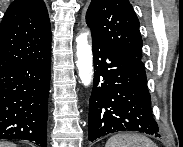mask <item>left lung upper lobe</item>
Here are the masks:
<instances>
[{"label": "left lung upper lobe", "instance_id": "obj_1", "mask_svg": "<svg viewBox=\"0 0 183 147\" xmlns=\"http://www.w3.org/2000/svg\"><path fill=\"white\" fill-rule=\"evenodd\" d=\"M86 23L92 38L142 58L139 20L128 0H92Z\"/></svg>", "mask_w": 183, "mask_h": 147}]
</instances>
